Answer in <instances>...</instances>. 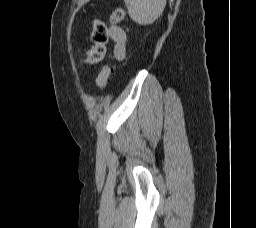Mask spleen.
Returning <instances> with one entry per match:
<instances>
[{"label":"spleen","instance_id":"spleen-1","mask_svg":"<svg viewBox=\"0 0 256 228\" xmlns=\"http://www.w3.org/2000/svg\"><path fill=\"white\" fill-rule=\"evenodd\" d=\"M130 18L139 25L152 24L162 14L166 0H124Z\"/></svg>","mask_w":256,"mask_h":228}]
</instances>
